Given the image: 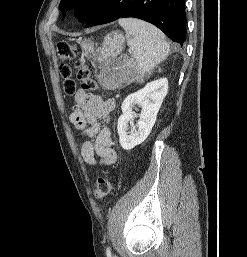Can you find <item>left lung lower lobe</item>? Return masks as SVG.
<instances>
[{
  "label": "left lung lower lobe",
  "instance_id": "1",
  "mask_svg": "<svg viewBox=\"0 0 247 257\" xmlns=\"http://www.w3.org/2000/svg\"><path fill=\"white\" fill-rule=\"evenodd\" d=\"M134 17L152 23L172 41L186 40L185 0H102L87 19V27Z\"/></svg>",
  "mask_w": 247,
  "mask_h": 257
}]
</instances>
